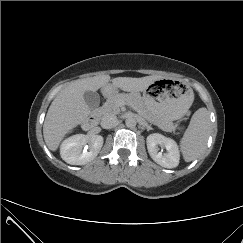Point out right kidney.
<instances>
[{"label":"right kidney","mask_w":243,"mask_h":243,"mask_svg":"<svg viewBox=\"0 0 243 243\" xmlns=\"http://www.w3.org/2000/svg\"><path fill=\"white\" fill-rule=\"evenodd\" d=\"M103 142L101 135H73L62 142L61 158L71 165H85L97 157ZM86 144H89V150Z\"/></svg>","instance_id":"1"}]
</instances>
